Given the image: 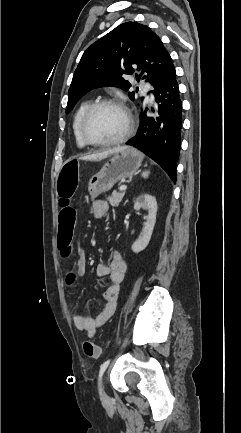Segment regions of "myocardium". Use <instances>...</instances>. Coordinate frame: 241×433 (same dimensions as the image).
I'll return each mask as SVG.
<instances>
[{
    "label": "myocardium",
    "instance_id": "myocardium-1",
    "mask_svg": "<svg viewBox=\"0 0 241 433\" xmlns=\"http://www.w3.org/2000/svg\"><path fill=\"white\" fill-rule=\"evenodd\" d=\"M103 106L118 107L124 112L125 117H126V128H125V131L123 132V134L114 140L106 141V142L93 140L87 132V125H88L89 119L91 118V116L93 115V113L97 109H99ZM133 127H134V122H133L132 114H131L129 108L124 104V102H122L119 99L105 98V99H100V100L93 102L87 108V110L85 111V113L83 114V117L81 119L80 132H81V135H82V137H83V139L87 145H91V146H95V147H111V146H116V145L124 143L130 137V135L133 131Z\"/></svg>",
    "mask_w": 241,
    "mask_h": 433
}]
</instances>
